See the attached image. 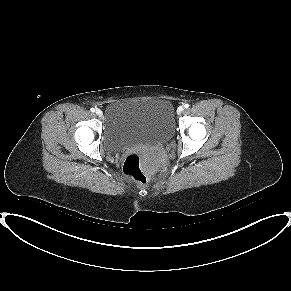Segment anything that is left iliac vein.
<instances>
[{
	"label": "left iliac vein",
	"mask_w": 291,
	"mask_h": 291,
	"mask_svg": "<svg viewBox=\"0 0 291 291\" xmlns=\"http://www.w3.org/2000/svg\"><path fill=\"white\" fill-rule=\"evenodd\" d=\"M184 111V108L182 106L178 107L177 114L180 115Z\"/></svg>",
	"instance_id": "left-iliac-vein-1"
}]
</instances>
